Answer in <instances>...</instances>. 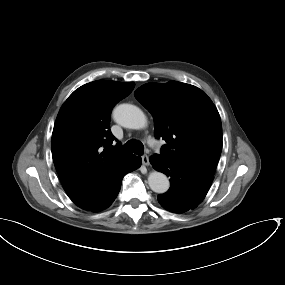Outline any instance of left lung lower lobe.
<instances>
[{
	"label": "left lung lower lobe",
	"instance_id": "0a47b994",
	"mask_svg": "<svg viewBox=\"0 0 285 285\" xmlns=\"http://www.w3.org/2000/svg\"><path fill=\"white\" fill-rule=\"evenodd\" d=\"M149 160L154 169L170 177V189L158 196V202L166 210L184 213L195 209L204 200L213 175L159 155H153Z\"/></svg>",
	"mask_w": 285,
	"mask_h": 285
}]
</instances>
